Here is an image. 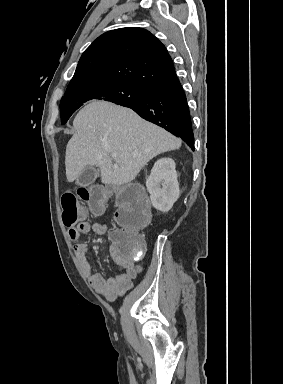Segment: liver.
<instances>
[{
    "instance_id": "liver-1",
    "label": "liver",
    "mask_w": 283,
    "mask_h": 384,
    "mask_svg": "<svg viewBox=\"0 0 283 384\" xmlns=\"http://www.w3.org/2000/svg\"><path fill=\"white\" fill-rule=\"evenodd\" d=\"M73 126L76 132L65 156L68 182L81 176L86 166H97L102 184H129L149 160L179 150L182 144V140L145 122L133 110L103 100H91L78 112Z\"/></svg>"
}]
</instances>
